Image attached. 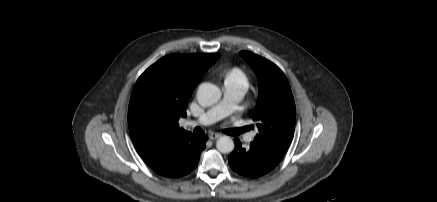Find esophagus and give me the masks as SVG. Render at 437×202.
<instances>
[{"label":"esophagus","mask_w":437,"mask_h":202,"mask_svg":"<svg viewBox=\"0 0 437 202\" xmlns=\"http://www.w3.org/2000/svg\"><path fill=\"white\" fill-rule=\"evenodd\" d=\"M220 137H221V135L218 134V133H211V134L209 135V138H210L211 140H216V139H218V138H220Z\"/></svg>","instance_id":"obj_1"}]
</instances>
